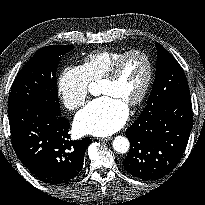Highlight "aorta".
Here are the masks:
<instances>
[{
    "mask_svg": "<svg viewBox=\"0 0 205 205\" xmlns=\"http://www.w3.org/2000/svg\"><path fill=\"white\" fill-rule=\"evenodd\" d=\"M112 145H113V149L120 154H124L128 152L130 148L129 140L124 136L115 137Z\"/></svg>",
    "mask_w": 205,
    "mask_h": 205,
    "instance_id": "1",
    "label": "aorta"
}]
</instances>
